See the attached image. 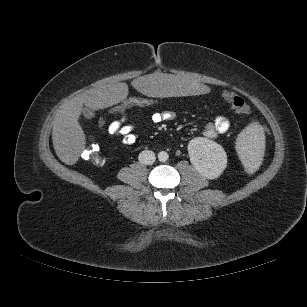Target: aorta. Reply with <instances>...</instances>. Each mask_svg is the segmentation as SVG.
Masks as SVG:
<instances>
[{"label":"aorta","instance_id":"1","mask_svg":"<svg viewBox=\"0 0 307 307\" xmlns=\"http://www.w3.org/2000/svg\"><path fill=\"white\" fill-rule=\"evenodd\" d=\"M168 158H169V155H168V153H167L166 151H160V152L158 153V159H159V161L165 162V161L168 160Z\"/></svg>","mask_w":307,"mask_h":307}]
</instances>
